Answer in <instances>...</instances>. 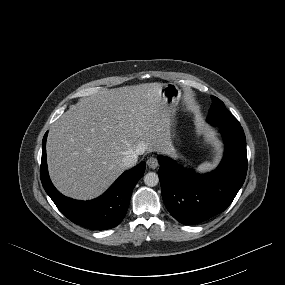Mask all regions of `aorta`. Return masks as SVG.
I'll list each match as a JSON object with an SVG mask.
<instances>
[{
    "instance_id": "1",
    "label": "aorta",
    "mask_w": 285,
    "mask_h": 285,
    "mask_svg": "<svg viewBox=\"0 0 285 285\" xmlns=\"http://www.w3.org/2000/svg\"><path fill=\"white\" fill-rule=\"evenodd\" d=\"M144 183L149 187H154L159 183V177L155 172H149L144 176Z\"/></svg>"
}]
</instances>
